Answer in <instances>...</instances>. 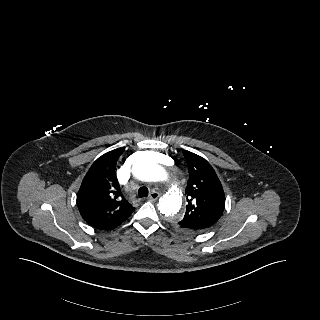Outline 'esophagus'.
<instances>
[{
	"mask_svg": "<svg viewBox=\"0 0 320 320\" xmlns=\"http://www.w3.org/2000/svg\"><path fill=\"white\" fill-rule=\"evenodd\" d=\"M159 196H160V194H159L158 192L153 191V192L149 195L148 199H149L150 201L157 200V199L159 198Z\"/></svg>",
	"mask_w": 320,
	"mask_h": 320,
	"instance_id": "34e87169",
	"label": "esophagus"
}]
</instances>
